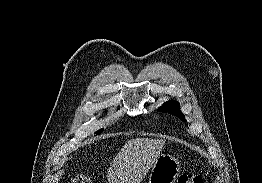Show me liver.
I'll use <instances>...</instances> for the list:
<instances>
[{
    "instance_id": "obj_1",
    "label": "liver",
    "mask_w": 262,
    "mask_h": 183,
    "mask_svg": "<svg viewBox=\"0 0 262 183\" xmlns=\"http://www.w3.org/2000/svg\"><path fill=\"white\" fill-rule=\"evenodd\" d=\"M165 145V140L133 138L115 156L107 173L109 183H140Z\"/></svg>"
}]
</instances>
